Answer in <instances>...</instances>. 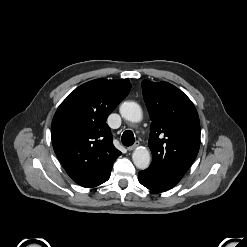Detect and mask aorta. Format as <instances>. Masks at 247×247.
<instances>
[{
	"instance_id": "762f6f07",
	"label": "aorta",
	"mask_w": 247,
	"mask_h": 247,
	"mask_svg": "<svg viewBox=\"0 0 247 247\" xmlns=\"http://www.w3.org/2000/svg\"><path fill=\"white\" fill-rule=\"evenodd\" d=\"M121 116L130 122H140L143 114L139 104L133 101H125L119 108ZM132 160L135 166L141 170L148 168L150 165V153L146 147H137L132 154Z\"/></svg>"
}]
</instances>
